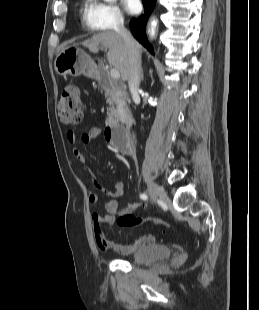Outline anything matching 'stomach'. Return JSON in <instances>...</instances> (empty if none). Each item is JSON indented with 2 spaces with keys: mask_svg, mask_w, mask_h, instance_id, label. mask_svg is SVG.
I'll return each instance as SVG.
<instances>
[{
  "mask_svg": "<svg viewBox=\"0 0 259 310\" xmlns=\"http://www.w3.org/2000/svg\"><path fill=\"white\" fill-rule=\"evenodd\" d=\"M55 70L61 75L73 77L81 74L92 77L94 71L90 57L76 46L64 48L55 59Z\"/></svg>",
  "mask_w": 259,
  "mask_h": 310,
  "instance_id": "obj_1",
  "label": "stomach"
}]
</instances>
